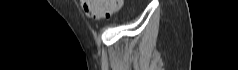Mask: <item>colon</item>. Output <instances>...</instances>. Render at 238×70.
<instances>
[{"mask_svg":"<svg viewBox=\"0 0 238 70\" xmlns=\"http://www.w3.org/2000/svg\"><path fill=\"white\" fill-rule=\"evenodd\" d=\"M123 0H81V4L92 18H108L114 12H120Z\"/></svg>","mask_w":238,"mask_h":70,"instance_id":"obj_1","label":"colon"}]
</instances>
